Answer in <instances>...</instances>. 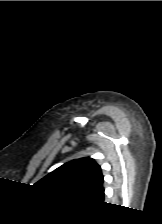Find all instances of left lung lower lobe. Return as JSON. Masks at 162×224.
I'll use <instances>...</instances> for the list:
<instances>
[{"label": "left lung lower lobe", "instance_id": "0a47b994", "mask_svg": "<svg viewBox=\"0 0 162 224\" xmlns=\"http://www.w3.org/2000/svg\"><path fill=\"white\" fill-rule=\"evenodd\" d=\"M89 198L92 201L102 203L104 200V188L102 187L100 190L92 194Z\"/></svg>", "mask_w": 162, "mask_h": 224}]
</instances>
